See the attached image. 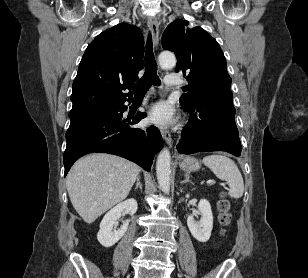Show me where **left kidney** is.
Masks as SVG:
<instances>
[{
  "mask_svg": "<svg viewBox=\"0 0 308 278\" xmlns=\"http://www.w3.org/2000/svg\"><path fill=\"white\" fill-rule=\"evenodd\" d=\"M198 209L201 213L199 222L194 220L192 215L187 218V225L192 236L199 242H207L210 239L213 228V214L211 205L206 199H201L198 204Z\"/></svg>",
  "mask_w": 308,
  "mask_h": 278,
  "instance_id": "5707ae66",
  "label": "left kidney"
}]
</instances>
